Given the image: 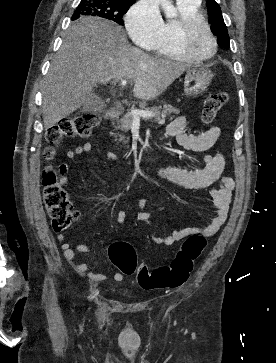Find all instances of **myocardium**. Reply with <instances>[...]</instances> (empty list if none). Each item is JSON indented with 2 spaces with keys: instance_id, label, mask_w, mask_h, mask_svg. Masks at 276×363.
<instances>
[{
  "instance_id": "1",
  "label": "myocardium",
  "mask_w": 276,
  "mask_h": 363,
  "mask_svg": "<svg viewBox=\"0 0 276 363\" xmlns=\"http://www.w3.org/2000/svg\"><path fill=\"white\" fill-rule=\"evenodd\" d=\"M198 27H203L212 41V51L206 56L194 54L188 46L189 37ZM177 43L187 59L195 62H206L210 60L216 54L218 48L217 39L209 23L201 16L185 18L178 23Z\"/></svg>"
}]
</instances>
